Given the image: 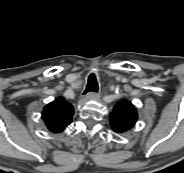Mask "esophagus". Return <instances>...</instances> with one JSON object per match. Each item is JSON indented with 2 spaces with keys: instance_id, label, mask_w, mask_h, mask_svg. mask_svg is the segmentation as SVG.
Returning a JSON list of instances; mask_svg holds the SVG:
<instances>
[{
  "instance_id": "34e87169",
  "label": "esophagus",
  "mask_w": 184,
  "mask_h": 173,
  "mask_svg": "<svg viewBox=\"0 0 184 173\" xmlns=\"http://www.w3.org/2000/svg\"><path fill=\"white\" fill-rule=\"evenodd\" d=\"M85 98L87 100H98L100 98V95L98 93L89 92L85 95Z\"/></svg>"
}]
</instances>
